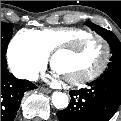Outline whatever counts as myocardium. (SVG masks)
<instances>
[{
    "mask_svg": "<svg viewBox=\"0 0 121 121\" xmlns=\"http://www.w3.org/2000/svg\"><path fill=\"white\" fill-rule=\"evenodd\" d=\"M91 39L99 40L104 47V57H103L101 64L96 69H94L93 71H90L88 73L78 75V76H73V77H65L64 80L67 83L76 85L79 83H84V82L90 81V80L96 78L97 76H99L106 69V67L109 63L110 52H111L109 42L107 41V39L105 37H103L99 34H87V35L80 37L78 40H76L74 43H72L70 45L57 46L51 52L49 62H50L51 68L54 69V59L57 55H59L60 53L74 54L76 45L84 44Z\"/></svg>",
    "mask_w": 121,
    "mask_h": 121,
    "instance_id": "f54148a6",
    "label": "myocardium"
}]
</instances>
